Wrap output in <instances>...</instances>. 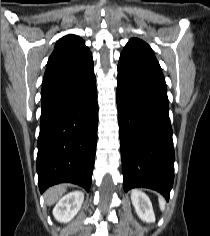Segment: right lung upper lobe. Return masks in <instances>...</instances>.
<instances>
[{
  "instance_id": "obj_1",
  "label": "right lung upper lobe",
  "mask_w": 210,
  "mask_h": 236,
  "mask_svg": "<svg viewBox=\"0 0 210 236\" xmlns=\"http://www.w3.org/2000/svg\"><path fill=\"white\" fill-rule=\"evenodd\" d=\"M93 64L92 54L82 38L66 35L60 38L49 57L43 84L67 76Z\"/></svg>"
}]
</instances>
